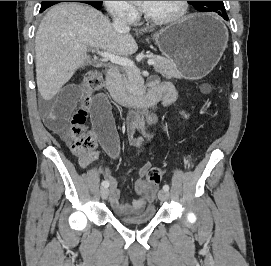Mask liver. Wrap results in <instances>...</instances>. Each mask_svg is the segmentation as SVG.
Wrapping results in <instances>:
<instances>
[{
	"label": "liver",
	"instance_id": "obj_1",
	"mask_svg": "<svg viewBox=\"0 0 271 266\" xmlns=\"http://www.w3.org/2000/svg\"><path fill=\"white\" fill-rule=\"evenodd\" d=\"M89 47L116 56L131 55L138 49L129 31L117 32L92 6L61 3L47 12L35 38L36 80L44 100H51L88 61Z\"/></svg>",
	"mask_w": 271,
	"mask_h": 266
}]
</instances>
